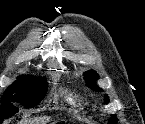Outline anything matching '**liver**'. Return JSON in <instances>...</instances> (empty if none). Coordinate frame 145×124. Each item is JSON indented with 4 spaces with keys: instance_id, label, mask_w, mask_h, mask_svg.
Returning <instances> with one entry per match:
<instances>
[{
    "instance_id": "liver-1",
    "label": "liver",
    "mask_w": 145,
    "mask_h": 124,
    "mask_svg": "<svg viewBox=\"0 0 145 124\" xmlns=\"http://www.w3.org/2000/svg\"><path fill=\"white\" fill-rule=\"evenodd\" d=\"M48 122V119L46 117L39 118V119H32V120H26L21 121L20 124H46Z\"/></svg>"
}]
</instances>
